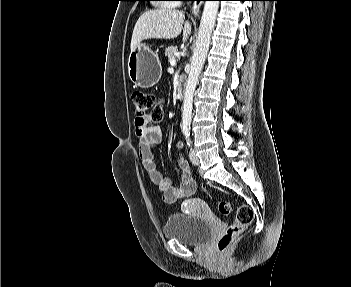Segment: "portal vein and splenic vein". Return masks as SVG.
Listing matches in <instances>:
<instances>
[{
    "label": "portal vein and splenic vein",
    "instance_id": "obj_1",
    "mask_svg": "<svg viewBox=\"0 0 351 287\" xmlns=\"http://www.w3.org/2000/svg\"><path fill=\"white\" fill-rule=\"evenodd\" d=\"M170 65H171V66H175V65H176V60H175V58H173V59L170 60Z\"/></svg>",
    "mask_w": 351,
    "mask_h": 287
}]
</instances>
